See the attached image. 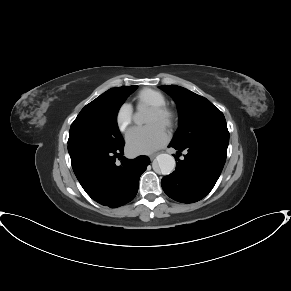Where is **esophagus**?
I'll use <instances>...</instances> for the list:
<instances>
[{"label":"esophagus","instance_id":"1","mask_svg":"<svg viewBox=\"0 0 291 291\" xmlns=\"http://www.w3.org/2000/svg\"><path fill=\"white\" fill-rule=\"evenodd\" d=\"M157 155H158V153H153V154H151V155L149 156V158H150L151 160H153Z\"/></svg>","mask_w":291,"mask_h":291}]
</instances>
